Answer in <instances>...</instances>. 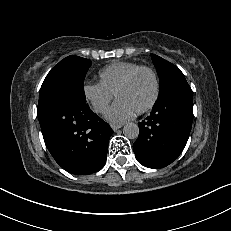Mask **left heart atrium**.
Instances as JSON below:
<instances>
[{
  "mask_svg": "<svg viewBox=\"0 0 231 231\" xmlns=\"http://www.w3.org/2000/svg\"><path fill=\"white\" fill-rule=\"evenodd\" d=\"M136 111L122 100H117L107 111L106 117L112 122H121L132 118Z\"/></svg>",
  "mask_w": 231,
  "mask_h": 231,
  "instance_id": "1",
  "label": "left heart atrium"
}]
</instances>
